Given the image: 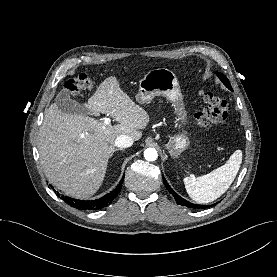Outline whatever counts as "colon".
<instances>
[{
    "label": "colon",
    "instance_id": "colon-1",
    "mask_svg": "<svg viewBox=\"0 0 277 277\" xmlns=\"http://www.w3.org/2000/svg\"><path fill=\"white\" fill-rule=\"evenodd\" d=\"M64 88L67 94L76 96L81 90L92 88L91 79L84 73L68 79ZM202 108L194 115V125L200 129H207L213 125L223 123L227 118L228 104L219 95L210 91H201Z\"/></svg>",
    "mask_w": 277,
    "mask_h": 277
}]
</instances>
